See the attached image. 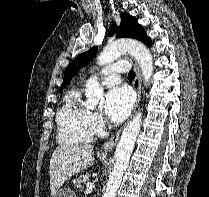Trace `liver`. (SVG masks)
Masks as SVG:
<instances>
[{
  "instance_id": "liver-1",
  "label": "liver",
  "mask_w": 209,
  "mask_h": 197,
  "mask_svg": "<svg viewBox=\"0 0 209 197\" xmlns=\"http://www.w3.org/2000/svg\"><path fill=\"white\" fill-rule=\"evenodd\" d=\"M93 148L90 144H64L54 150L49 165L52 197L73 175L94 164Z\"/></svg>"
}]
</instances>
